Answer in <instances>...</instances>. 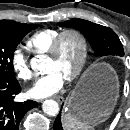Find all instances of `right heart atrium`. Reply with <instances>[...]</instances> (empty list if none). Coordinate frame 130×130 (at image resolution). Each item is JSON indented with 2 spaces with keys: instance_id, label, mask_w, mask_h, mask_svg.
Listing matches in <instances>:
<instances>
[{
  "instance_id": "1",
  "label": "right heart atrium",
  "mask_w": 130,
  "mask_h": 130,
  "mask_svg": "<svg viewBox=\"0 0 130 130\" xmlns=\"http://www.w3.org/2000/svg\"><path fill=\"white\" fill-rule=\"evenodd\" d=\"M12 68L17 76L23 80H29L32 72L29 66L28 58L21 49H15L11 56Z\"/></svg>"
}]
</instances>
